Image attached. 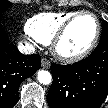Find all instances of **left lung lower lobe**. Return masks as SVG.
<instances>
[{"mask_svg": "<svg viewBox=\"0 0 108 108\" xmlns=\"http://www.w3.org/2000/svg\"><path fill=\"white\" fill-rule=\"evenodd\" d=\"M50 108H99L108 96V47L72 65L51 64Z\"/></svg>", "mask_w": 108, "mask_h": 108, "instance_id": "left-lung-lower-lobe-1", "label": "left lung lower lobe"}]
</instances>
